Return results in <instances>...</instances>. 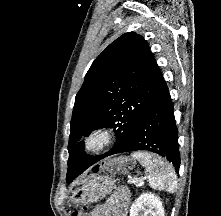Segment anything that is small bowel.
<instances>
[{"instance_id":"1","label":"small bowel","mask_w":221,"mask_h":216,"mask_svg":"<svg viewBox=\"0 0 221 216\" xmlns=\"http://www.w3.org/2000/svg\"><path fill=\"white\" fill-rule=\"evenodd\" d=\"M130 194L126 189L116 190L108 200L95 207L89 216H126Z\"/></svg>"}]
</instances>
